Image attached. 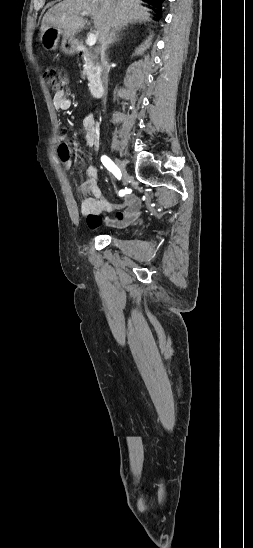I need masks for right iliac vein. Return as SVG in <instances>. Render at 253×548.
Returning a JSON list of instances; mask_svg holds the SVG:
<instances>
[{"label":"right iliac vein","instance_id":"63e3f726","mask_svg":"<svg viewBox=\"0 0 253 548\" xmlns=\"http://www.w3.org/2000/svg\"><path fill=\"white\" fill-rule=\"evenodd\" d=\"M115 162L121 172V176H122V183L123 185H126L128 183V179H129V175L127 173V170L124 166V164L117 158H115Z\"/></svg>","mask_w":253,"mask_h":548}]
</instances>
